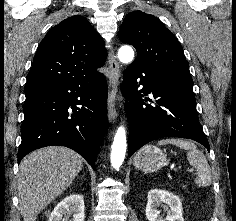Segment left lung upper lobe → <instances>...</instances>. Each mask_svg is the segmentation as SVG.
Wrapping results in <instances>:
<instances>
[{"instance_id": "left-lung-upper-lobe-1", "label": "left lung upper lobe", "mask_w": 236, "mask_h": 221, "mask_svg": "<svg viewBox=\"0 0 236 221\" xmlns=\"http://www.w3.org/2000/svg\"><path fill=\"white\" fill-rule=\"evenodd\" d=\"M118 37L123 43L135 47L138 58L132 64L144 65L193 83L182 46L155 16L142 11L129 13L123 21Z\"/></svg>"}]
</instances>
